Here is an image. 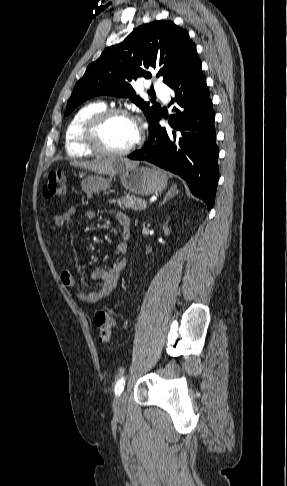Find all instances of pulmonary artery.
<instances>
[{
	"label": "pulmonary artery",
	"mask_w": 287,
	"mask_h": 486,
	"mask_svg": "<svg viewBox=\"0 0 287 486\" xmlns=\"http://www.w3.org/2000/svg\"><path fill=\"white\" fill-rule=\"evenodd\" d=\"M153 87H154V89L157 93L163 95L164 98L167 99L169 89L163 82L155 81L154 84H153Z\"/></svg>",
	"instance_id": "obj_1"
}]
</instances>
